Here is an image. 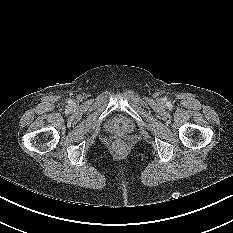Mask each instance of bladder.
Here are the masks:
<instances>
[{
	"mask_svg": "<svg viewBox=\"0 0 233 233\" xmlns=\"http://www.w3.org/2000/svg\"><path fill=\"white\" fill-rule=\"evenodd\" d=\"M110 129L121 132L128 133L132 130L131 123L124 117L116 116L109 121Z\"/></svg>",
	"mask_w": 233,
	"mask_h": 233,
	"instance_id": "bladder-1",
	"label": "bladder"
}]
</instances>
